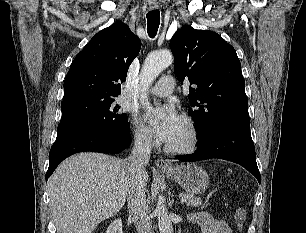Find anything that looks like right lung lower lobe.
<instances>
[{"label":"right lung lower lobe","mask_w":306,"mask_h":233,"mask_svg":"<svg viewBox=\"0 0 306 233\" xmlns=\"http://www.w3.org/2000/svg\"><path fill=\"white\" fill-rule=\"evenodd\" d=\"M131 143L130 132H110L106 130H87L57 140L50 149L49 168L46 180L68 156L85 151L116 154L126 149Z\"/></svg>","instance_id":"1"}]
</instances>
